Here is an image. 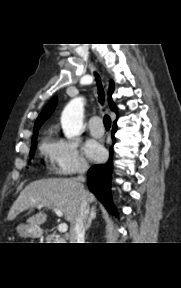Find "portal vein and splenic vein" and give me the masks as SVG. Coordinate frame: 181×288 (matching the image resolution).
<instances>
[{
    "label": "portal vein and splenic vein",
    "instance_id": "1",
    "mask_svg": "<svg viewBox=\"0 0 181 288\" xmlns=\"http://www.w3.org/2000/svg\"><path fill=\"white\" fill-rule=\"evenodd\" d=\"M41 207H42V205H38V208H41ZM53 210L58 217L63 216V212L60 209L53 207ZM67 229H68V225L66 223H61L58 225V231L60 233H65L67 231Z\"/></svg>",
    "mask_w": 181,
    "mask_h": 288
}]
</instances>
